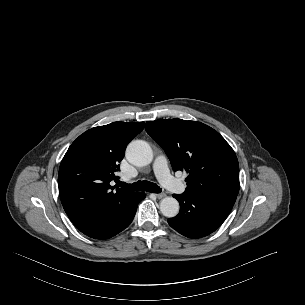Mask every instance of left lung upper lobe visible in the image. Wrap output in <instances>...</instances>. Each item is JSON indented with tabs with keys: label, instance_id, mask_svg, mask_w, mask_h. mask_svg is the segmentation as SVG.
Segmentation results:
<instances>
[{
	"label": "left lung upper lobe",
	"instance_id": "obj_1",
	"mask_svg": "<svg viewBox=\"0 0 305 305\" xmlns=\"http://www.w3.org/2000/svg\"><path fill=\"white\" fill-rule=\"evenodd\" d=\"M145 130L163 148L174 171L189 173L185 194L238 195V160L217 131L181 119L148 121Z\"/></svg>",
	"mask_w": 305,
	"mask_h": 305
}]
</instances>
